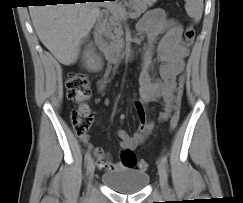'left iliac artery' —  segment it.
<instances>
[{"instance_id": "44dca946", "label": "left iliac artery", "mask_w": 243, "mask_h": 203, "mask_svg": "<svg viewBox=\"0 0 243 203\" xmlns=\"http://www.w3.org/2000/svg\"><path fill=\"white\" fill-rule=\"evenodd\" d=\"M161 160L167 166L168 160H167V156L165 154L162 155Z\"/></svg>"}]
</instances>
